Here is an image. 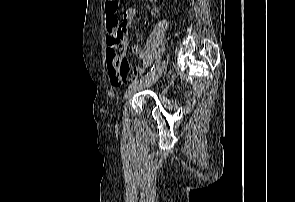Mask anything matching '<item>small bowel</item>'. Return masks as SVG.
<instances>
[{
	"instance_id": "obj_1",
	"label": "small bowel",
	"mask_w": 295,
	"mask_h": 202,
	"mask_svg": "<svg viewBox=\"0 0 295 202\" xmlns=\"http://www.w3.org/2000/svg\"><path fill=\"white\" fill-rule=\"evenodd\" d=\"M150 1L156 2L157 0ZM135 14L136 10L132 8L124 11L119 27L113 29V31L117 34L118 37L117 42L110 40L109 34L111 30L107 28V61L109 63L110 80L114 86L120 85L124 80L131 81L136 76L143 74L145 71L144 67H138L132 73L131 67H129L130 65L128 63V59H124L126 55V48L129 44L128 27L132 23ZM106 17L108 21V19L112 18V15L106 13ZM133 53L135 56L140 57L142 59L148 58V51L141 49L139 47H134ZM114 75L124 76L114 77Z\"/></svg>"
}]
</instances>
